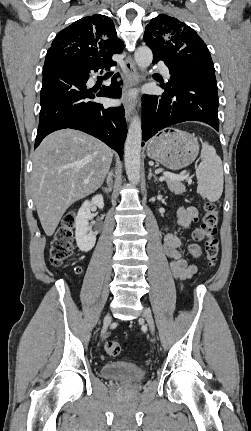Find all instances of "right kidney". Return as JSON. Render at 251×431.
Wrapping results in <instances>:
<instances>
[{
	"label": "right kidney",
	"mask_w": 251,
	"mask_h": 431,
	"mask_svg": "<svg viewBox=\"0 0 251 431\" xmlns=\"http://www.w3.org/2000/svg\"><path fill=\"white\" fill-rule=\"evenodd\" d=\"M93 205L103 209L104 200L102 195H96L91 201L86 200L83 202L75 218V239L78 248L83 252H89L96 242V235L89 226V220L92 217L90 209Z\"/></svg>",
	"instance_id": "right-kidney-1"
}]
</instances>
